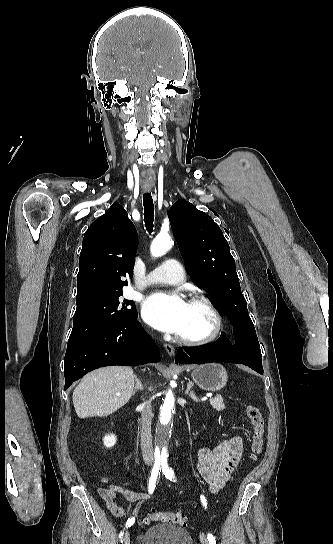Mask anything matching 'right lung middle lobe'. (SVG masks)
<instances>
[{
  "mask_svg": "<svg viewBox=\"0 0 333 544\" xmlns=\"http://www.w3.org/2000/svg\"><path fill=\"white\" fill-rule=\"evenodd\" d=\"M122 295V290H116L76 299L77 308L68 345L119 326L137 315L135 303L123 299Z\"/></svg>",
  "mask_w": 333,
  "mask_h": 544,
  "instance_id": "1",
  "label": "right lung middle lobe"
}]
</instances>
